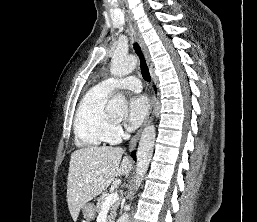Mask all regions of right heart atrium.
<instances>
[{
  "label": "right heart atrium",
  "mask_w": 257,
  "mask_h": 222,
  "mask_svg": "<svg viewBox=\"0 0 257 222\" xmlns=\"http://www.w3.org/2000/svg\"><path fill=\"white\" fill-rule=\"evenodd\" d=\"M124 136V131L119 124L112 123L109 127L108 140L111 143L119 141Z\"/></svg>",
  "instance_id": "1"
}]
</instances>
